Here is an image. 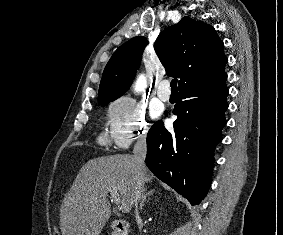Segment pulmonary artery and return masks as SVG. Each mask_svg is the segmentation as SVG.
Masks as SVG:
<instances>
[{
    "label": "pulmonary artery",
    "instance_id": "e3ab8cb5",
    "mask_svg": "<svg viewBox=\"0 0 283 235\" xmlns=\"http://www.w3.org/2000/svg\"><path fill=\"white\" fill-rule=\"evenodd\" d=\"M169 87V81L168 80H162L159 83L158 89H157V96L160 100L167 102L169 101L171 97V92L168 89Z\"/></svg>",
    "mask_w": 283,
    "mask_h": 235
}]
</instances>
